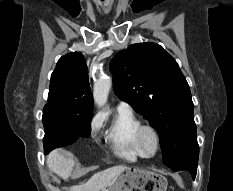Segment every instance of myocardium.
I'll return each mask as SVG.
<instances>
[{"instance_id": "myocardium-1", "label": "myocardium", "mask_w": 233, "mask_h": 191, "mask_svg": "<svg viewBox=\"0 0 233 191\" xmlns=\"http://www.w3.org/2000/svg\"><path fill=\"white\" fill-rule=\"evenodd\" d=\"M147 132L151 133L154 137V140H155V149L152 152H149L144 145V135ZM136 141H137V144H138L140 150L143 152V154L146 157H153L160 150V134H159V131L157 130V128L152 124H149V123L140 124V126L138 127V129L136 131Z\"/></svg>"}]
</instances>
